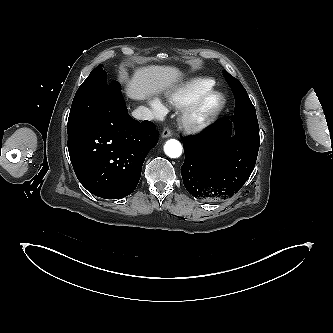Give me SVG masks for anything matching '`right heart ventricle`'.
Returning a JSON list of instances; mask_svg holds the SVG:
<instances>
[{"mask_svg": "<svg viewBox=\"0 0 333 333\" xmlns=\"http://www.w3.org/2000/svg\"><path fill=\"white\" fill-rule=\"evenodd\" d=\"M215 82L208 78H192L174 88L167 96L168 102L176 108H185L197 97L212 89Z\"/></svg>", "mask_w": 333, "mask_h": 333, "instance_id": "1", "label": "right heart ventricle"}]
</instances>
